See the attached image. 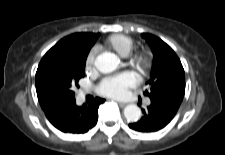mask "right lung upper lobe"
<instances>
[{
  "instance_id": "cb5924a9",
  "label": "right lung upper lobe",
  "mask_w": 225,
  "mask_h": 155,
  "mask_svg": "<svg viewBox=\"0 0 225 155\" xmlns=\"http://www.w3.org/2000/svg\"><path fill=\"white\" fill-rule=\"evenodd\" d=\"M98 37L99 33H74L61 39L44 55L36 72L37 97L43 110L61 101L43 83L44 68L54 61H68L75 57L86 58Z\"/></svg>"
}]
</instances>
